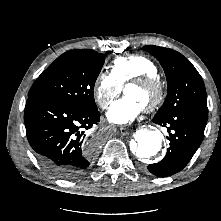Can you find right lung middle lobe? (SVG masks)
<instances>
[{"mask_svg": "<svg viewBox=\"0 0 221 221\" xmlns=\"http://www.w3.org/2000/svg\"><path fill=\"white\" fill-rule=\"evenodd\" d=\"M104 61V54L90 49L63 53L36 79L28 97L42 96L96 111L93 90Z\"/></svg>", "mask_w": 221, "mask_h": 221, "instance_id": "dd1d6c3e", "label": "right lung middle lobe"}]
</instances>
